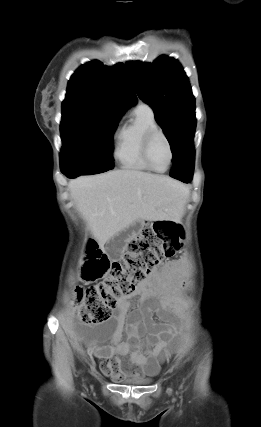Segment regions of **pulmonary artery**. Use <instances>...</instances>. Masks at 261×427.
<instances>
[{
	"label": "pulmonary artery",
	"instance_id": "pulmonary-artery-1",
	"mask_svg": "<svg viewBox=\"0 0 261 427\" xmlns=\"http://www.w3.org/2000/svg\"><path fill=\"white\" fill-rule=\"evenodd\" d=\"M139 106L144 107V108L152 111V109L147 104H145V103H141Z\"/></svg>",
	"mask_w": 261,
	"mask_h": 427
}]
</instances>
